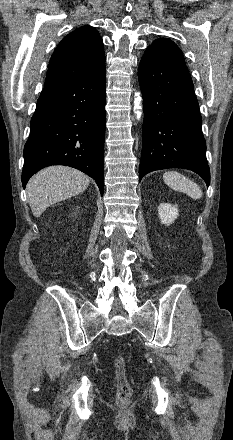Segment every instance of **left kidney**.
I'll return each instance as SVG.
<instances>
[{"label": "left kidney", "mask_w": 233, "mask_h": 440, "mask_svg": "<svg viewBox=\"0 0 233 440\" xmlns=\"http://www.w3.org/2000/svg\"><path fill=\"white\" fill-rule=\"evenodd\" d=\"M158 214L162 224L170 225L178 217L177 205H171L169 203H161L158 206Z\"/></svg>", "instance_id": "obj_1"}]
</instances>
